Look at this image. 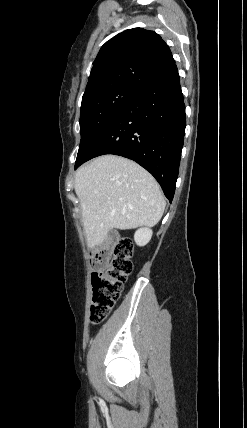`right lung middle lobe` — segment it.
Here are the masks:
<instances>
[{"mask_svg": "<svg viewBox=\"0 0 247 428\" xmlns=\"http://www.w3.org/2000/svg\"><path fill=\"white\" fill-rule=\"evenodd\" d=\"M140 91L114 86L83 95L80 113L81 141L77 159L83 155L100 131Z\"/></svg>", "mask_w": 247, "mask_h": 428, "instance_id": "right-lung-middle-lobe-1", "label": "right lung middle lobe"}]
</instances>
